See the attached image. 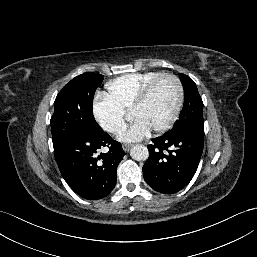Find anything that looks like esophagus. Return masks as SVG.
Returning <instances> with one entry per match:
<instances>
[{
  "instance_id": "1",
  "label": "esophagus",
  "mask_w": 257,
  "mask_h": 257,
  "mask_svg": "<svg viewBox=\"0 0 257 257\" xmlns=\"http://www.w3.org/2000/svg\"><path fill=\"white\" fill-rule=\"evenodd\" d=\"M130 145L129 144H123V149L124 151L128 152L130 150Z\"/></svg>"
}]
</instances>
